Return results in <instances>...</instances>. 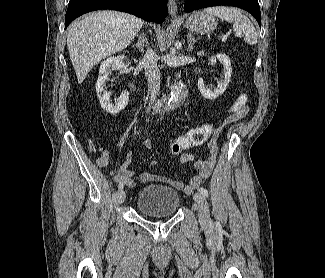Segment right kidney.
Segmentation results:
<instances>
[{
  "label": "right kidney",
  "mask_w": 325,
  "mask_h": 278,
  "mask_svg": "<svg viewBox=\"0 0 325 278\" xmlns=\"http://www.w3.org/2000/svg\"><path fill=\"white\" fill-rule=\"evenodd\" d=\"M129 66V62L126 60V56L109 57L103 61L99 68V77L96 82V92L101 104V107L110 114H117L123 110L129 101V93L125 91L121 94L120 99L112 104L109 95L105 89V82L108 80V76L113 70H122Z\"/></svg>",
  "instance_id": "ca27d5eb"
}]
</instances>
